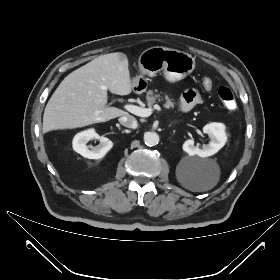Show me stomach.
<instances>
[{
    "label": "stomach",
    "instance_id": "0dacf381",
    "mask_svg": "<svg viewBox=\"0 0 280 280\" xmlns=\"http://www.w3.org/2000/svg\"><path fill=\"white\" fill-rule=\"evenodd\" d=\"M140 75L132 80V86L144 90L147 79L163 71L170 83L178 82L195 69V59L188 53L161 46H154L143 51L138 59Z\"/></svg>",
    "mask_w": 280,
    "mask_h": 280
}]
</instances>
